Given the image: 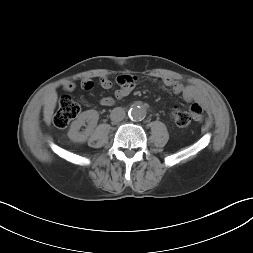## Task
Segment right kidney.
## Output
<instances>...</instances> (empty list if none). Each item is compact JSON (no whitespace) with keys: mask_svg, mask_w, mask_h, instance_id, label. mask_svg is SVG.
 I'll return each mask as SVG.
<instances>
[{"mask_svg":"<svg viewBox=\"0 0 253 253\" xmlns=\"http://www.w3.org/2000/svg\"><path fill=\"white\" fill-rule=\"evenodd\" d=\"M99 119V114L96 110H87L80 114L77 120L71 123L70 129L68 131V137L71 141L75 143H84L87 141L88 137L92 133L93 129L96 127ZM85 122L88 123V127L79 132L82 126H85Z\"/></svg>","mask_w":253,"mask_h":253,"instance_id":"1","label":"right kidney"}]
</instances>
